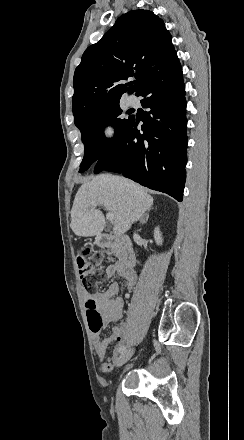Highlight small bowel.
I'll use <instances>...</instances> for the list:
<instances>
[{"label": "small bowel", "instance_id": "1", "mask_svg": "<svg viewBox=\"0 0 244 440\" xmlns=\"http://www.w3.org/2000/svg\"><path fill=\"white\" fill-rule=\"evenodd\" d=\"M106 278L118 276L127 288H133L136 284V275L133 268L126 267L121 261L116 264L106 267ZM120 286L118 283H112L103 292H95L89 294L84 288L81 290V295L86 301H93L97 310L103 318L104 325L113 324L111 334L103 339H100L98 332L92 333L93 345L98 359L101 361L100 371L105 374L113 372V370L120 365L121 356L118 351L120 345H124V340L129 333V328L123 320L124 299L118 296ZM87 308H90L87 306ZM116 342V346L112 352L111 357L105 360L108 346Z\"/></svg>", "mask_w": 244, "mask_h": 440}]
</instances>
